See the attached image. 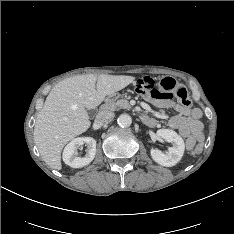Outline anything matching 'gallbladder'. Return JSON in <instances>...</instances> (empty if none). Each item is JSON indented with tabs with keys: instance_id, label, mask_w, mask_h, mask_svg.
<instances>
[{
	"instance_id": "bac80fb5",
	"label": "gallbladder",
	"mask_w": 234,
	"mask_h": 234,
	"mask_svg": "<svg viewBox=\"0 0 234 234\" xmlns=\"http://www.w3.org/2000/svg\"><path fill=\"white\" fill-rule=\"evenodd\" d=\"M94 113V110H89L88 111V114H93Z\"/></svg>"
}]
</instances>
